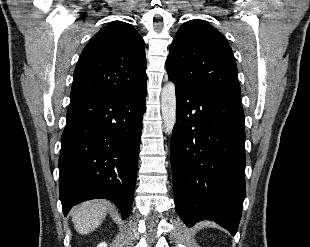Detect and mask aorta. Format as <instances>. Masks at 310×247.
Masks as SVG:
<instances>
[{
	"label": "aorta",
	"mask_w": 310,
	"mask_h": 247,
	"mask_svg": "<svg viewBox=\"0 0 310 247\" xmlns=\"http://www.w3.org/2000/svg\"><path fill=\"white\" fill-rule=\"evenodd\" d=\"M161 111L165 132L171 135L176 122V92L173 82H168L162 89Z\"/></svg>",
	"instance_id": "762f6f07"
}]
</instances>
